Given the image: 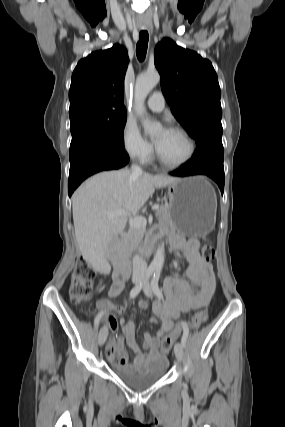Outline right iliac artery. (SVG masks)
<instances>
[{
  "instance_id": "right-iliac-artery-1",
  "label": "right iliac artery",
  "mask_w": 285,
  "mask_h": 427,
  "mask_svg": "<svg viewBox=\"0 0 285 427\" xmlns=\"http://www.w3.org/2000/svg\"><path fill=\"white\" fill-rule=\"evenodd\" d=\"M154 270H155V268H154V267H149V268L147 269L144 279H143L140 283H138V284H137V285H136V286L131 290V292H130V298H134V297H136V296L140 293V291H141L142 287L145 285V283L147 282V280L152 276V274H153ZM99 320H100V316H98V320H97V324H96V325H98V321H99Z\"/></svg>"
}]
</instances>
